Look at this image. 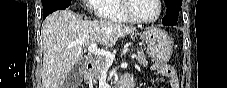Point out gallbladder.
Segmentation results:
<instances>
[{
	"label": "gallbladder",
	"instance_id": "gallbladder-1",
	"mask_svg": "<svg viewBox=\"0 0 227 88\" xmlns=\"http://www.w3.org/2000/svg\"><path fill=\"white\" fill-rule=\"evenodd\" d=\"M84 63L85 60L82 59L71 69L63 84L65 88H72L79 85L81 82L80 69Z\"/></svg>",
	"mask_w": 227,
	"mask_h": 88
}]
</instances>
